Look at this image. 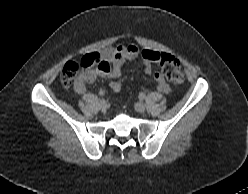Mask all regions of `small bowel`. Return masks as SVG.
<instances>
[{
    "mask_svg": "<svg viewBox=\"0 0 248 194\" xmlns=\"http://www.w3.org/2000/svg\"><path fill=\"white\" fill-rule=\"evenodd\" d=\"M157 52L153 50H139L135 45H118L107 47L101 52L94 53L95 63L93 67H86L80 79L75 84V91L79 94L86 92V84L94 82L98 77L117 78L122 73L123 65L140 56L147 73L153 72V57ZM153 77L157 83L158 92L167 94L170 86L160 72H154Z\"/></svg>",
    "mask_w": 248,
    "mask_h": 194,
    "instance_id": "small-bowel-1",
    "label": "small bowel"
}]
</instances>
